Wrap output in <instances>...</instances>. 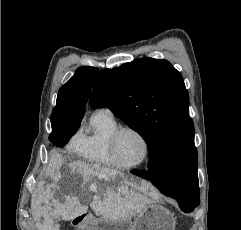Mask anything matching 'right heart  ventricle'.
<instances>
[{
  "label": "right heart ventricle",
  "instance_id": "1",
  "mask_svg": "<svg viewBox=\"0 0 241 230\" xmlns=\"http://www.w3.org/2000/svg\"><path fill=\"white\" fill-rule=\"evenodd\" d=\"M118 126L110 111H96L91 117L89 130L83 135L82 144L76 151L78 155L91 163L114 166L108 151V140Z\"/></svg>",
  "mask_w": 241,
  "mask_h": 230
}]
</instances>
